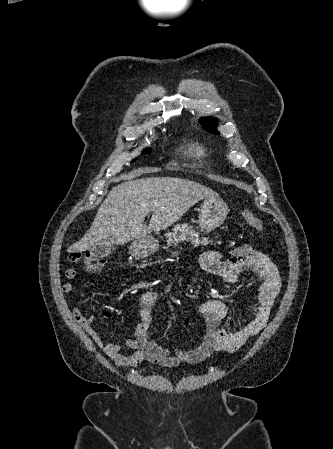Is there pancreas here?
Returning a JSON list of instances; mask_svg holds the SVG:
<instances>
[{"label":"pancreas","mask_w":333,"mask_h":449,"mask_svg":"<svg viewBox=\"0 0 333 449\" xmlns=\"http://www.w3.org/2000/svg\"><path fill=\"white\" fill-rule=\"evenodd\" d=\"M166 237L168 239V246L173 243L172 238H174L176 242L187 241L195 245H207L209 243L207 238H202L201 240L198 232H195V230H193L191 226H188V224L176 225L173 232L167 233Z\"/></svg>","instance_id":"cf45deb5"}]
</instances>
